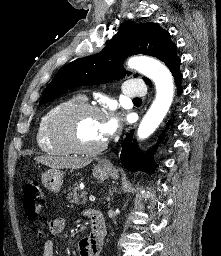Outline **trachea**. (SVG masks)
<instances>
[{"mask_svg":"<svg viewBox=\"0 0 221 256\" xmlns=\"http://www.w3.org/2000/svg\"><path fill=\"white\" fill-rule=\"evenodd\" d=\"M134 101H142L140 98H134Z\"/></svg>","mask_w":221,"mask_h":256,"instance_id":"3493384b","label":"trachea"}]
</instances>
